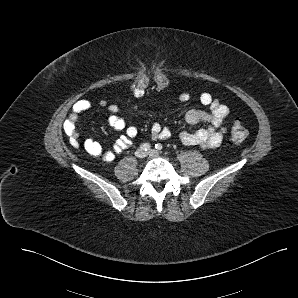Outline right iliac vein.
Listing matches in <instances>:
<instances>
[{
  "label": "right iliac vein",
  "mask_w": 298,
  "mask_h": 298,
  "mask_svg": "<svg viewBox=\"0 0 298 298\" xmlns=\"http://www.w3.org/2000/svg\"><path fill=\"white\" fill-rule=\"evenodd\" d=\"M135 156L137 158H143L145 157V152L143 149H137L136 152H135Z\"/></svg>",
  "instance_id": "1"
}]
</instances>
